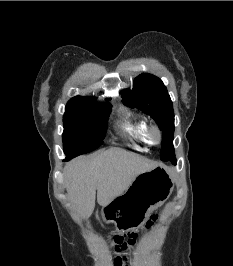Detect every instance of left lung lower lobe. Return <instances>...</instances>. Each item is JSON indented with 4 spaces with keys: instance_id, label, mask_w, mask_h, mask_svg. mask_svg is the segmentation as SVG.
I'll return each mask as SVG.
<instances>
[{
    "instance_id": "1",
    "label": "left lung lower lobe",
    "mask_w": 233,
    "mask_h": 266,
    "mask_svg": "<svg viewBox=\"0 0 233 266\" xmlns=\"http://www.w3.org/2000/svg\"><path fill=\"white\" fill-rule=\"evenodd\" d=\"M170 160L175 164L176 163L175 155H173Z\"/></svg>"
}]
</instances>
